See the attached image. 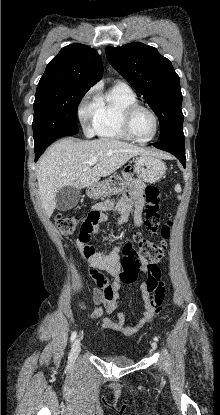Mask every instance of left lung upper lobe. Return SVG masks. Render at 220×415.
Instances as JSON below:
<instances>
[{
	"label": "left lung upper lobe",
	"instance_id": "obj_1",
	"mask_svg": "<svg viewBox=\"0 0 220 415\" xmlns=\"http://www.w3.org/2000/svg\"><path fill=\"white\" fill-rule=\"evenodd\" d=\"M108 61L147 100L160 123L159 140L183 135L180 79L156 48L140 42L106 49Z\"/></svg>",
	"mask_w": 220,
	"mask_h": 415
}]
</instances>
